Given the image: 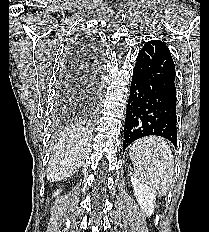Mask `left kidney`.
Wrapping results in <instances>:
<instances>
[{
	"mask_svg": "<svg viewBox=\"0 0 209 232\" xmlns=\"http://www.w3.org/2000/svg\"><path fill=\"white\" fill-rule=\"evenodd\" d=\"M131 182L137 202L147 216L154 212L156 192L136 174H131Z\"/></svg>",
	"mask_w": 209,
	"mask_h": 232,
	"instance_id": "obj_1",
	"label": "left kidney"
}]
</instances>
